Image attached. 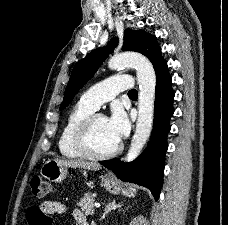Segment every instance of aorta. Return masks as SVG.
<instances>
[{
	"instance_id": "762f6f07",
	"label": "aorta",
	"mask_w": 228,
	"mask_h": 225,
	"mask_svg": "<svg viewBox=\"0 0 228 225\" xmlns=\"http://www.w3.org/2000/svg\"><path fill=\"white\" fill-rule=\"evenodd\" d=\"M111 70L133 66L136 68L139 82L138 119L135 135L127 153L126 161L131 163L140 155L145 143H147L153 123L156 74L152 62L139 54V52H120L113 54L108 62Z\"/></svg>"
}]
</instances>
